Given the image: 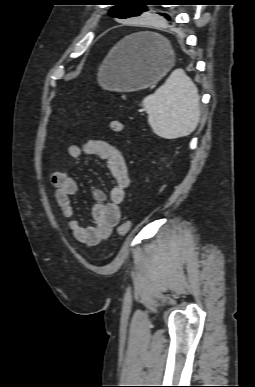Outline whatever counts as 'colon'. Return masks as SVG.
I'll return each mask as SVG.
<instances>
[{
  "label": "colon",
  "instance_id": "colon-1",
  "mask_svg": "<svg viewBox=\"0 0 255 387\" xmlns=\"http://www.w3.org/2000/svg\"><path fill=\"white\" fill-rule=\"evenodd\" d=\"M109 128L114 132V133H122L124 131V124L119 121V120H111L109 122ZM132 226V223L130 220H125L123 221L117 228V232L120 236H125L128 234Z\"/></svg>",
  "mask_w": 255,
  "mask_h": 387
}]
</instances>
